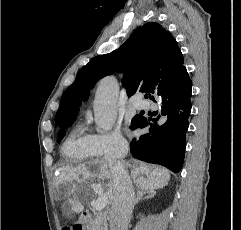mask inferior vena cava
Here are the masks:
<instances>
[{
	"instance_id": "602c4592",
	"label": "inferior vena cava",
	"mask_w": 241,
	"mask_h": 230,
	"mask_svg": "<svg viewBox=\"0 0 241 230\" xmlns=\"http://www.w3.org/2000/svg\"><path fill=\"white\" fill-rule=\"evenodd\" d=\"M128 151V145H122L115 153L105 156L113 179L114 196L109 210L110 230H127L135 204L132 182L121 160Z\"/></svg>"
}]
</instances>
